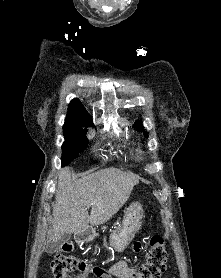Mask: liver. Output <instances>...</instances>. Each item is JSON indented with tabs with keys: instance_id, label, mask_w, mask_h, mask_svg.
<instances>
[{
	"instance_id": "liver-1",
	"label": "liver",
	"mask_w": 221,
	"mask_h": 278,
	"mask_svg": "<svg viewBox=\"0 0 221 278\" xmlns=\"http://www.w3.org/2000/svg\"><path fill=\"white\" fill-rule=\"evenodd\" d=\"M139 183L137 176L108 168L77 179L68 169L59 174L53 205L52 242L66 233H81L114 216ZM91 207L90 215L88 209Z\"/></svg>"
}]
</instances>
